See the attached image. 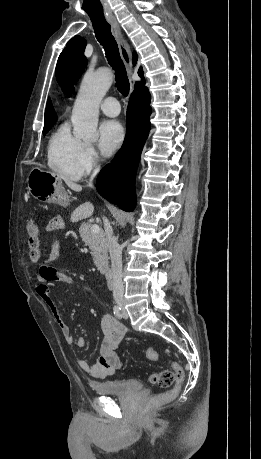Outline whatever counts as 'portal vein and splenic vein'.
Instances as JSON below:
<instances>
[{
	"mask_svg": "<svg viewBox=\"0 0 261 459\" xmlns=\"http://www.w3.org/2000/svg\"><path fill=\"white\" fill-rule=\"evenodd\" d=\"M91 231H92V233H94V234L99 233V232H100V227H99V225L93 224V225L91 226Z\"/></svg>",
	"mask_w": 261,
	"mask_h": 459,
	"instance_id": "1",
	"label": "portal vein and splenic vein"
}]
</instances>
